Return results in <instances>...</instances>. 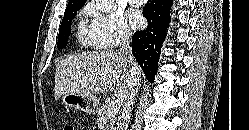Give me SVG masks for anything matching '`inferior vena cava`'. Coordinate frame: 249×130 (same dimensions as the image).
Listing matches in <instances>:
<instances>
[{
    "label": "inferior vena cava",
    "instance_id": "1",
    "mask_svg": "<svg viewBox=\"0 0 249 130\" xmlns=\"http://www.w3.org/2000/svg\"><path fill=\"white\" fill-rule=\"evenodd\" d=\"M130 34L124 33L121 38L120 54L123 58V62L129 68V87L122 101V111L118 120L117 130H127V126L130 120L131 108L134 103V97L136 95V90L139 86V79L136 74V64L131 53L130 46Z\"/></svg>",
    "mask_w": 249,
    "mask_h": 130
}]
</instances>
